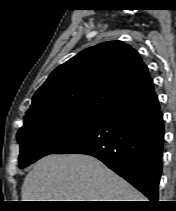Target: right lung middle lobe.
<instances>
[{"mask_svg":"<svg viewBox=\"0 0 176 211\" xmlns=\"http://www.w3.org/2000/svg\"><path fill=\"white\" fill-rule=\"evenodd\" d=\"M106 116L88 115L67 109H46L24 117L17 133L21 150L19 167L25 168L54 153L83 135Z\"/></svg>","mask_w":176,"mask_h":211,"instance_id":"right-lung-middle-lobe-1","label":"right lung middle lobe"}]
</instances>
